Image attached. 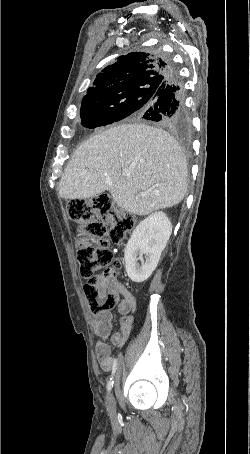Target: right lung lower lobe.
Instances as JSON below:
<instances>
[{
    "instance_id": "98d812e1",
    "label": "right lung lower lobe",
    "mask_w": 250,
    "mask_h": 454,
    "mask_svg": "<svg viewBox=\"0 0 250 454\" xmlns=\"http://www.w3.org/2000/svg\"><path fill=\"white\" fill-rule=\"evenodd\" d=\"M165 60L171 72L166 82L160 86L155 101L138 117L157 122L172 130H185L189 127L190 119L185 106L184 85L173 63Z\"/></svg>"
}]
</instances>
